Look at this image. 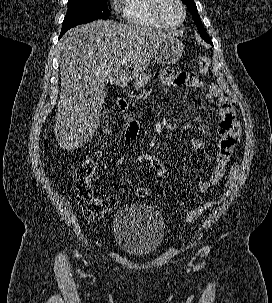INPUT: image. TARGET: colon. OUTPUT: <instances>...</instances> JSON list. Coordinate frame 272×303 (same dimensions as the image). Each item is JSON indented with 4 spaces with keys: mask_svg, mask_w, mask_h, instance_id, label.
Wrapping results in <instances>:
<instances>
[{
    "mask_svg": "<svg viewBox=\"0 0 272 303\" xmlns=\"http://www.w3.org/2000/svg\"><path fill=\"white\" fill-rule=\"evenodd\" d=\"M209 58L202 57L199 60V68L202 73H205L209 66ZM107 130L105 129V132ZM100 152L94 151L89 157L82 160L75 168L73 175V192L76 202L82 209L86 219L95 220L110 213L116 206V201L111 197L99 198L95 196L92 186V177L95 173V158L98 157ZM133 164L142 167L144 170L152 172L158 178L162 179L166 175V166L163 160L152 153H141L134 160ZM239 173V165L234 164L229 172L227 189L217 199L205 204L195 210L188 212L185 215L186 222H193L201 217L213 205L222 201L229 189H231L237 179ZM136 195L139 198H146L149 195V190L146 187H138Z\"/></svg>",
    "mask_w": 272,
    "mask_h": 303,
    "instance_id": "5ec220e1",
    "label": "colon"
}]
</instances>
